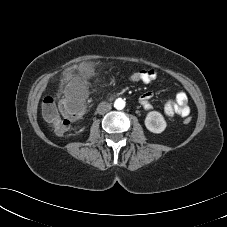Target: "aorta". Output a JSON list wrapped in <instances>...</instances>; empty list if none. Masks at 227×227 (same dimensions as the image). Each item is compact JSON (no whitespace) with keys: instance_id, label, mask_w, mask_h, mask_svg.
Here are the masks:
<instances>
[{"instance_id":"aorta-1","label":"aorta","mask_w":227,"mask_h":227,"mask_svg":"<svg viewBox=\"0 0 227 227\" xmlns=\"http://www.w3.org/2000/svg\"><path fill=\"white\" fill-rule=\"evenodd\" d=\"M125 100L122 99V98H118L115 100L114 102V107L117 109V110H122L124 107H125Z\"/></svg>"}]
</instances>
